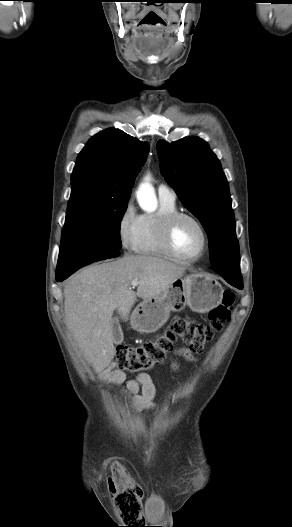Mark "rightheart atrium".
Listing matches in <instances>:
<instances>
[{
    "label": "right heart atrium",
    "mask_w": 292,
    "mask_h": 527,
    "mask_svg": "<svg viewBox=\"0 0 292 527\" xmlns=\"http://www.w3.org/2000/svg\"><path fill=\"white\" fill-rule=\"evenodd\" d=\"M140 215L132 201L122 209L117 223L119 241L124 249L133 250Z\"/></svg>",
    "instance_id": "right-heart-atrium-1"
}]
</instances>
